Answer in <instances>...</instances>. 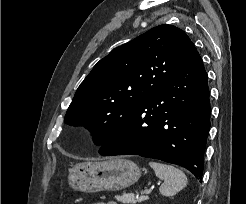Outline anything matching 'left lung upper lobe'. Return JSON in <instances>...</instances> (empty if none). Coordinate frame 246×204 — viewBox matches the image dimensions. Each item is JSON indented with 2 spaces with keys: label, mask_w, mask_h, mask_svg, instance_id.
I'll list each match as a JSON object with an SVG mask.
<instances>
[{
  "label": "left lung upper lobe",
  "mask_w": 246,
  "mask_h": 204,
  "mask_svg": "<svg viewBox=\"0 0 246 204\" xmlns=\"http://www.w3.org/2000/svg\"><path fill=\"white\" fill-rule=\"evenodd\" d=\"M196 48L181 29L164 24L117 47L84 79L64 122L85 126L102 145L133 110L181 69Z\"/></svg>",
  "instance_id": "obj_1"
}]
</instances>
